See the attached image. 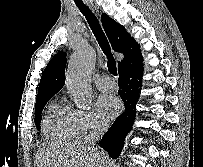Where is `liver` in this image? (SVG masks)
<instances>
[{
	"label": "liver",
	"mask_w": 203,
	"mask_h": 167,
	"mask_svg": "<svg viewBox=\"0 0 203 167\" xmlns=\"http://www.w3.org/2000/svg\"><path fill=\"white\" fill-rule=\"evenodd\" d=\"M36 167H105V160L86 141H73L41 149Z\"/></svg>",
	"instance_id": "liver-1"
}]
</instances>
